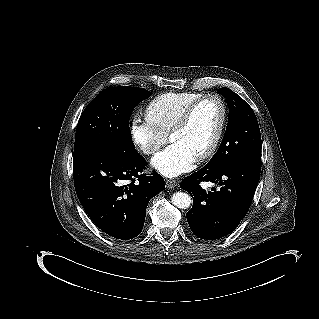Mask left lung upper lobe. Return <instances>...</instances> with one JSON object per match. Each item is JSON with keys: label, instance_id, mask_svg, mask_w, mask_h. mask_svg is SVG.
Segmentation results:
<instances>
[{"label": "left lung upper lobe", "instance_id": "left-lung-upper-lobe-1", "mask_svg": "<svg viewBox=\"0 0 319 319\" xmlns=\"http://www.w3.org/2000/svg\"><path fill=\"white\" fill-rule=\"evenodd\" d=\"M217 93L227 99L229 120L220 147L207 165H224L246 158L261 157L260 130L252 108L226 87L218 89Z\"/></svg>", "mask_w": 319, "mask_h": 319}]
</instances>
